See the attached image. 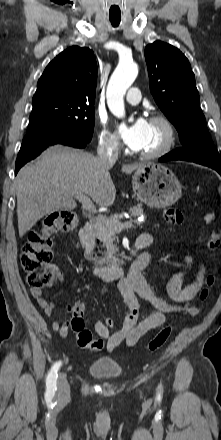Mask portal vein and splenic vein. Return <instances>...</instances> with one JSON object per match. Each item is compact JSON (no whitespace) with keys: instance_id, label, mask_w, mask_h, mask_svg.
Masks as SVG:
<instances>
[{"instance_id":"portal-vein-and-splenic-vein-1","label":"portal vein and splenic vein","mask_w":221,"mask_h":440,"mask_svg":"<svg viewBox=\"0 0 221 440\" xmlns=\"http://www.w3.org/2000/svg\"><path fill=\"white\" fill-rule=\"evenodd\" d=\"M75 198L78 199L82 203L84 209H86L90 213H97L96 207L94 206L93 202L91 201V199L86 194H84V193H77L75 195ZM99 218L103 219L104 217L102 215H99ZM112 224H113V228H114V230L116 232H120L124 228H131V227H133L132 221H127L125 223H121L119 221L113 220Z\"/></svg>"}]
</instances>
